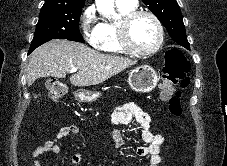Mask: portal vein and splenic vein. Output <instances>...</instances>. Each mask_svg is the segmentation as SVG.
Listing matches in <instances>:
<instances>
[{"instance_id":"1","label":"portal vein and splenic vein","mask_w":227,"mask_h":166,"mask_svg":"<svg viewBox=\"0 0 227 166\" xmlns=\"http://www.w3.org/2000/svg\"><path fill=\"white\" fill-rule=\"evenodd\" d=\"M70 72H77V68L73 67Z\"/></svg>"}]
</instances>
